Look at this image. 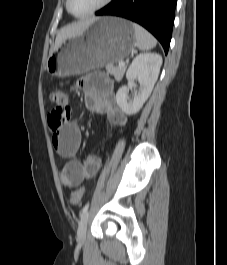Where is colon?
I'll return each mask as SVG.
<instances>
[{
    "label": "colon",
    "instance_id": "obj_1",
    "mask_svg": "<svg viewBox=\"0 0 227 265\" xmlns=\"http://www.w3.org/2000/svg\"><path fill=\"white\" fill-rule=\"evenodd\" d=\"M50 101L55 104V108L48 116V124L53 132L58 131L63 125H65L71 116V108L69 105L68 95L64 91H52L50 93ZM67 169L64 166L62 173H66ZM84 194V188H79L72 192L70 202L74 206H78L81 203Z\"/></svg>",
    "mask_w": 227,
    "mask_h": 265
}]
</instances>
